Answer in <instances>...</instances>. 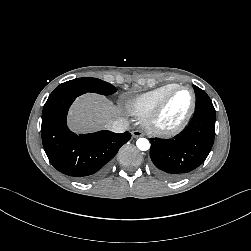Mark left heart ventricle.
Masks as SVG:
<instances>
[{"label": "left heart ventricle", "instance_id": "1", "mask_svg": "<svg viewBox=\"0 0 251 251\" xmlns=\"http://www.w3.org/2000/svg\"><path fill=\"white\" fill-rule=\"evenodd\" d=\"M191 104V95L186 90L175 92L169 99L160 123L164 126H174L185 116Z\"/></svg>", "mask_w": 251, "mask_h": 251}]
</instances>
